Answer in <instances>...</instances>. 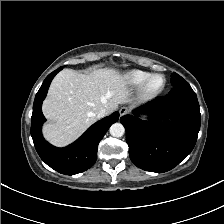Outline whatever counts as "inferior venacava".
Here are the masks:
<instances>
[{
  "mask_svg": "<svg viewBox=\"0 0 224 224\" xmlns=\"http://www.w3.org/2000/svg\"><path fill=\"white\" fill-rule=\"evenodd\" d=\"M108 114V111L106 108H101L99 110V112L97 113V117L98 118H103L104 116H106Z\"/></svg>",
  "mask_w": 224,
  "mask_h": 224,
  "instance_id": "obj_1",
  "label": "inferior vena cava"
}]
</instances>
